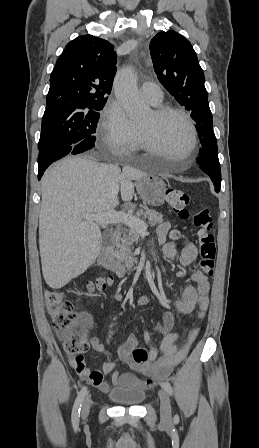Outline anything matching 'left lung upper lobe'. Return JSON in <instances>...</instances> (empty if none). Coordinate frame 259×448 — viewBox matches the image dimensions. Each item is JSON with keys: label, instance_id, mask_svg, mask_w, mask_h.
<instances>
[{"label": "left lung upper lobe", "instance_id": "obj_1", "mask_svg": "<svg viewBox=\"0 0 259 448\" xmlns=\"http://www.w3.org/2000/svg\"><path fill=\"white\" fill-rule=\"evenodd\" d=\"M150 52L158 80L191 112L201 148L217 143L204 73L191 43L175 31H162L151 40Z\"/></svg>", "mask_w": 259, "mask_h": 448}]
</instances>
